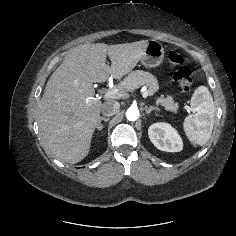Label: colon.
<instances>
[{"mask_svg":"<svg viewBox=\"0 0 236 236\" xmlns=\"http://www.w3.org/2000/svg\"><path fill=\"white\" fill-rule=\"evenodd\" d=\"M168 61L175 68L173 78L178 83L182 92H189L192 88L193 81L191 72L185 65L184 57L176 51H171L168 54Z\"/></svg>","mask_w":236,"mask_h":236,"instance_id":"obj_1","label":"colon"}]
</instances>
